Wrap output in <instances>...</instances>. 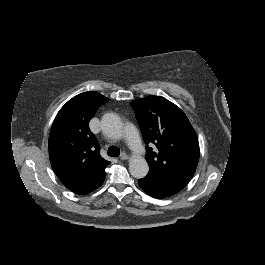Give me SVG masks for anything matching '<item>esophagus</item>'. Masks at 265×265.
Here are the masks:
<instances>
[{
    "mask_svg": "<svg viewBox=\"0 0 265 265\" xmlns=\"http://www.w3.org/2000/svg\"><path fill=\"white\" fill-rule=\"evenodd\" d=\"M120 159L121 160H127V159H129V156L126 154V153H122L121 155H120Z\"/></svg>",
    "mask_w": 265,
    "mask_h": 265,
    "instance_id": "obj_1",
    "label": "esophagus"
}]
</instances>
